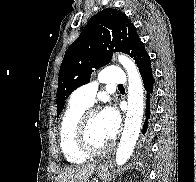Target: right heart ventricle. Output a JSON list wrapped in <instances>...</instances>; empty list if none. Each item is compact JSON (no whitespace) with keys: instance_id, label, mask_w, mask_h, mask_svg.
Returning <instances> with one entry per match:
<instances>
[{"instance_id":"obj_1","label":"right heart ventricle","mask_w":196,"mask_h":182,"mask_svg":"<svg viewBox=\"0 0 196 182\" xmlns=\"http://www.w3.org/2000/svg\"><path fill=\"white\" fill-rule=\"evenodd\" d=\"M86 106L74 100H70L59 125V142L65 159L74 165H79L87 160V156L79 152L73 140L76 122L86 110Z\"/></svg>"}]
</instances>
